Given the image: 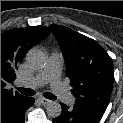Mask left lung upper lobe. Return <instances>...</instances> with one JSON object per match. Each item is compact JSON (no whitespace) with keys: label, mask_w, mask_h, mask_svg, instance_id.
Here are the masks:
<instances>
[{"label":"left lung upper lobe","mask_w":123,"mask_h":123,"mask_svg":"<svg viewBox=\"0 0 123 123\" xmlns=\"http://www.w3.org/2000/svg\"><path fill=\"white\" fill-rule=\"evenodd\" d=\"M63 52L71 90L76 97L74 109L101 118L114 81L113 62L95 40L70 28L51 25Z\"/></svg>","instance_id":"5c2ea615"}]
</instances>
